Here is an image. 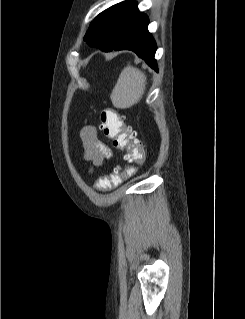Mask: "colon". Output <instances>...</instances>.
Returning <instances> with one entry per match:
<instances>
[{"label":"colon","mask_w":245,"mask_h":319,"mask_svg":"<svg viewBox=\"0 0 245 319\" xmlns=\"http://www.w3.org/2000/svg\"><path fill=\"white\" fill-rule=\"evenodd\" d=\"M100 128L112 141L113 147L125 153L126 161L134 164L143 163L144 148L137 142L135 133L124 116L112 108H105L100 113ZM134 171L135 168L132 165L125 168L117 167L111 174L100 177L96 185L100 189L114 188Z\"/></svg>","instance_id":"colon-1"}]
</instances>
